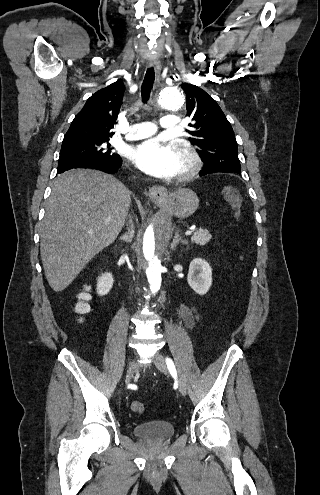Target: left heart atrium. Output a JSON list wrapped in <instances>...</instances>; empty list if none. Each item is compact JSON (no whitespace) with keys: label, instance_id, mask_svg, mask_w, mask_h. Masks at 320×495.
Listing matches in <instances>:
<instances>
[{"label":"left heart atrium","instance_id":"1","mask_svg":"<svg viewBox=\"0 0 320 495\" xmlns=\"http://www.w3.org/2000/svg\"><path fill=\"white\" fill-rule=\"evenodd\" d=\"M129 157L140 170L154 177H173L178 171L175 149L158 139L139 143L132 148Z\"/></svg>","mask_w":320,"mask_h":495}]
</instances>
